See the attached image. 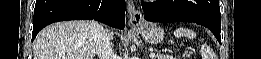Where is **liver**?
Segmentation results:
<instances>
[{
  "instance_id": "obj_1",
  "label": "liver",
  "mask_w": 261,
  "mask_h": 59,
  "mask_svg": "<svg viewBox=\"0 0 261 59\" xmlns=\"http://www.w3.org/2000/svg\"><path fill=\"white\" fill-rule=\"evenodd\" d=\"M93 25L92 21L77 20L46 27L36 37L34 59H94ZM109 35L112 39L113 33Z\"/></svg>"
}]
</instances>
